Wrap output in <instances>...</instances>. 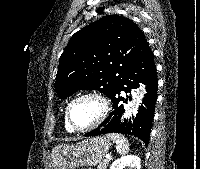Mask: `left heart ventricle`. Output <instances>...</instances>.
I'll return each mask as SVG.
<instances>
[{
  "label": "left heart ventricle",
  "mask_w": 200,
  "mask_h": 169,
  "mask_svg": "<svg viewBox=\"0 0 200 169\" xmlns=\"http://www.w3.org/2000/svg\"><path fill=\"white\" fill-rule=\"evenodd\" d=\"M100 106L91 98L77 101L71 108V119L74 126L84 128L91 125L98 117Z\"/></svg>",
  "instance_id": "1"
}]
</instances>
